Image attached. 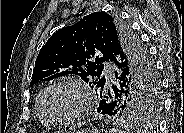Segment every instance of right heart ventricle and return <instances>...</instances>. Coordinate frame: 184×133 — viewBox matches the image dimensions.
<instances>
[{
	"instance_id": "1",
	"label": "right heart ventricle",
	"mask_w": 184,
	"mask_h": 133,
	"mask_svg": "<svg viewBox=\"0 0 184 133\" xmlns=\"http://www.w3.org/2000/svg\"><path fill=\"white\" fill-rule=\"evenodd\" d=\"M44 91H45V89L42 90V91L40 92V94H39V96H38V98H37V101H36V112H37V115H38V117L40 118V120H41L42 122L48 123V122L45 120V118H44V116H43V114H42V112H41V110H40V100H41V97H42Z\"/></svg>"
}]
</instances>
